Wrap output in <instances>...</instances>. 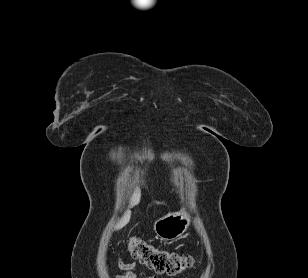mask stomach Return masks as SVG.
<instances>
[{"instance_id":"1","label":"stomach","mask_w":308,"mask_h":278,"mask_svg":"<svg viewBox=\"0 0 308 278\" xmlns=\"http://www.w3.org/2000/svg\"><path fill=\"white\" fill-rule=\"evenodd\" d=\"M191 216L184 210L157 219L154 223V231L161 239L166 241L176 240L188 229Z\"/></svg>"}]
</instances>
